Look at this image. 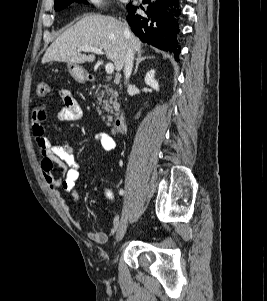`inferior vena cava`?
<instances>
[{
    "mask_svg": "<svg viewBox=\"0 0 267 301\" xmlns=\"http://www.w3.org/2000/svg\"><path fill=\"white\" fill-rule=\"evenodd\" d=\"M124 33L129 34V30L127 27H125ZM133 61H134V52L132 47L129 45L125 56V64H124V75H125L126 83L132 73Z\"/></svg>",
    "mask_w": 267,
    "mask_h": 301,
    "instance_id": "obj_1",
    "label": "inferior vena cava"
}]
</instances>
